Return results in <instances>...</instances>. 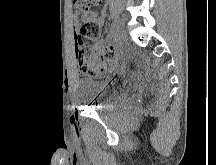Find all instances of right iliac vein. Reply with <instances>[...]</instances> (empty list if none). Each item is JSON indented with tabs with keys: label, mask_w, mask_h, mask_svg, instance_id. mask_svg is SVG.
Listing matches in <instances>:
<instances>
[{
	"label": "right iliac vein",
	"mask_w": 216,
	"mask_h": 165,
	"mask_svg": "<svg viewBox=\"0 0 216 165\" xmlns=\"http://www.w3.org/2000/svg\"><path fill=\"white\" fill-rule=\"evenodd\" d=\"M114 30H115V39L122 40L125 37L123 22L120 19H116L114 24Z\"/></svg>",
	"instance_id": "63e3f726"
}]
</instances>
